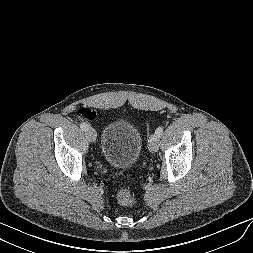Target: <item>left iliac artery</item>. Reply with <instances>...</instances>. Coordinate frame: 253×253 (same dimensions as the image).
Here are the masks:
<instances>
[{
    "instance_id": "1",
    "label": "left iliac artery",
    "mask_w": 253,
    "mask_h": 253,
    "mask_svg": "<svg viewBox=\"0 0 253 253\" xmlns=\"http://www.w3.org/2000/svg\"><path fill=\"white\" fill-rule=\"evenodd\" d=\"M162 133H163V127L162 126H159L157 129H156V131H155V134L157 135V136H161L162 135Z\"/></svg>"
}]
</instances>
